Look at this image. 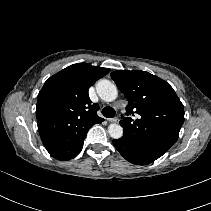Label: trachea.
Listing matches in <instances>:
<instances>
[{
	"label": "trachea",
	"mask_w": 211,
	"mask_h": 211,
	"mask_svg": "<svg viewBox=\"0 0 211 211\" xmlns=\"http://www.w3.org/2000/svg\"><path fill=\"white\" fill-rule=\"evenodd\" d=\"M102 114L107 118H112L115 116V110L112 107H104L102 109Z\"/></svg>",
	"instance_id": "3493384b"
}]
</instances>
